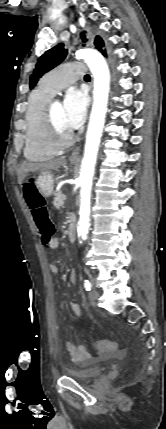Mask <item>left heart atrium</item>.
Masks as SVG:
<instances>
[{
    "label": "left heart atrium",
    "mask_w": 166,
    "mask_h": 429,
    "mask_svg": "<svg viewBox=\"0 0 166 429\" xmlns=\"http://www.w3.org/2000/svg\"><path fill=\"white\" fill-rule=\"evenodd\" d=\"M87 96L83 91L69 90L63 102V114L66 126L72 131L79 128L86 117Z\"/></svg>",
    "instance_id": "39dd6f15"
}]
</instances>
